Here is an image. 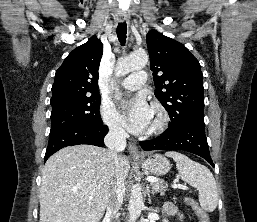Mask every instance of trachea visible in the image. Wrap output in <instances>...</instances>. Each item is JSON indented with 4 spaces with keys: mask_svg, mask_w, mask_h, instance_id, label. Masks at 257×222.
I'll list each match as a JSON object with an SVG mask.
<instances>
[{
    "mask_svg": "<svg viewBox=\"0 0 257 222\" xmlns=\"http://www.w3.org/2000/svg\"><path fill=\"white\" fill-rule=\"evenodd\" d=\"M126 34H127V24L126 22H121L117 26V37L122 45L126 43Z\"/></svg>",
    "mask_w": 257,
    "mask_h": 222,
    "instance_id": "1",
    "label": "trachea"
}]
</instances>
